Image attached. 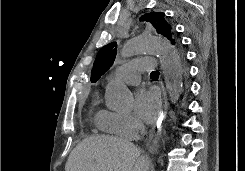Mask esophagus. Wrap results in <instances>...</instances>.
Instances as JSON below:
<instances>
[{
    "mask_svg": "<svg viewBox=\"0 0 245 171\" xmlns=\"http://www.w3.org/2000/svg\"><path fill=\"white\" fill-rule=\"evenodd\" d=\"M161 89H162V101H161V108L158 114V119L153 126L150 135H149V140H148V146L150 147L151 152H156L158 150V145L156 143V139L162 129L163 123L167 117V112H168V107H169V102L167 98V94L165 91V88L163 84L161 83ZM155 137V140H154Z\"/></svg>",
    "mask_w": 245,
    "mask_h": 171,
    "instance_id": "1",
    "label": "esophagus"
}]
</instances>
